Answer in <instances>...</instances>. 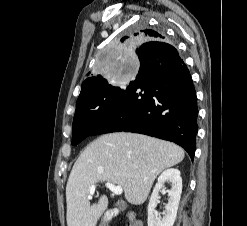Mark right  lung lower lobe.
Returning <instances> with one entry per match:
<instances>
[{
	"mask_svg": "<svg viewBox=\"0 0 247 226\" xmlns=\"http://www.w3.org/2000/svg\"><path fill=\"white\" fill-rule=\"evenodd\" d=\"M136 52V79L91 136L117 131L146 134L177 143L193 160L198 108L187 66L176 48L164 41L146 42Z\"/></svg>",
	"mask_w": 247,
	"mask_h": 226,
	"instance_id": "right-lung-lower-lobe-1",
	"label": "right lung lower lobe"
}]
</instances>
